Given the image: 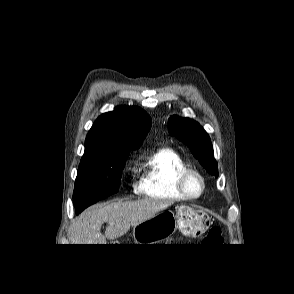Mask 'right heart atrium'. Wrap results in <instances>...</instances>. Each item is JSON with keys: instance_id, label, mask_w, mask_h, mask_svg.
Masks as SVG:
<instances>
[{"instance_id": "d8ad5b80", "label": "right heart atrium", "mask_w": 294, "mask_h": 294, "mask_svg": "<svg viewBox=\"0 0 294 294\" xmlns=\"http://www.w3.org/2000/svg\"><path fill=\"white\" fill-rule=\"evenodd\" d=\"M134 174H135V168L134 167H131L130 168V175L133 176Z\"/></svg>"}]
</instances>
